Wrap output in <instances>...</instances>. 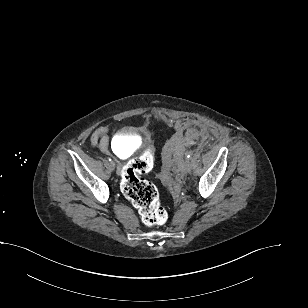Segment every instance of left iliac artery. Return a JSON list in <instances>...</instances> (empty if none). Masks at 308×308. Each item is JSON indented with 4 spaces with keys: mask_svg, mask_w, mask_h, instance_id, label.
Instances as JSON below:
<instances>
[{
    "mask_svg": "<svg viewBox=\"0 0 308 308\" xmlns=\"http://www.w3.org/2000/svg\"><path fill=\"white\" fill-rule=\"evenodd\" d=\"M191 156H192V153H191V152H187V153H186V157H187V158H191Z\"/></svg>",
    "mask_w": 308,
    "mask_h": 308,
    "instance_id": "obj_1",
    "label": "left iliac artery"
}]
</instances>
